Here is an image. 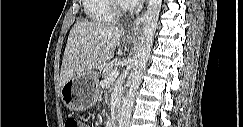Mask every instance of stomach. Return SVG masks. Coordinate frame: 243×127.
<instances>
[{
	"label": "stomach",
	"mask_w": 243,
	"mask_h": 127,
	"mask_svg": "<svg viewBox=\"0 0 243 127\" xmlns=\"http://www.w3.org/2000/svg\"><path fill=\"white\" fill-rule=\"evenodd\" d=\"M135 36H125L124 42H131ZM98 72L95 68L68 80L61 87V99L72 111H85L95 104L99 96Z\"/></svg>",
	"instance_id": "0dacf381"
}]
</instances>
